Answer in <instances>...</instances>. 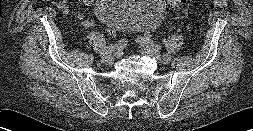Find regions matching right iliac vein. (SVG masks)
<instances>
[{"instance_id":"63e3f726","label":"right iliac vein","mask_w":253,"mask_h":131,"mask_svg":"<svg viewBox=\"0 0 253 131\" xmlns=\"http://www.w3.org/2000/svg\"><path fill=\"white\" fill-rule=\"evenodd\" d=\"M113 59H114V56L112 54L105 55L101 58L103 63H108V64L112 63Z\"/></svg>"}]
</instances>
